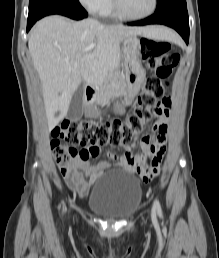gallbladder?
I'll use <instances>...</instances> for the list:
<instances>
[{"label":"gallbladder","instance_id":"1","mask_svg":"<svg viewBox=\"0 0 219 258\" xmlns=\"http://www.w3.org/2000/svg\"><path fill=\"white\" fill-rule=\"evenodd\" d=\"M83 105H84V89L83 86H79L77 90L74 92L68 112L67 119L71 121H78L83 116Z\"/></svg>","mask_w":219,"mask_h":258}]
</instances>
